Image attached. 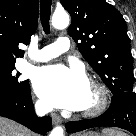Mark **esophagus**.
<instances>
[{
  "label": "esophagus",
  "instance_id": "34e87169",
  "mask_svg": "<svg viewBox=\"0 0 136 136\" xmlns=\"http://www.w3.org/2000/svg\"><path fill=\"white\" fill-rule=\"evenodd\" d=\"M51 117H52V122H53V124H55V125L61 123V121H62L61 118H60V116L57 115V114H55V113H53V114L51 115Z\"/></svg>",
  "mask_w": 136,
  "mask_h": 136
}]
</instances>
